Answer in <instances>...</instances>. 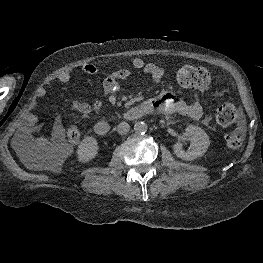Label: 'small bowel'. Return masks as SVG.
Listing matches in <instances>:
<instances>
[{"label":"small bowel","mask_w":263,"mask_h":263,"mask_svg":"<svg viewBox=\"0 0 263 263\" xmlns=\"http://www.w3.org/2000/svg\"><path fill=\"white\" fill-rule=\"evenodd\" d=\"M82 72L87 75H95L98 73V67L94 64L87 63L82 66ZM134 75H148L153 83H158L165 76V69L155 63L145 62L141 58H135L132 61V69H117L109 73L103 80L102 89L104 94H111L120 88V82L128 79ZM71 79L69 72H61L56 76V80L60 83H67ZM46 94L45 88L37 90L39 98ZM152 111H159L163 114H180L190 117L195 120H201L202 123L211 128L213 126L210 116L204 115L203 108L198 101L187 102L183 99L177 98L173 93L162 92L153 99L146 101ZM72 107L84 114H90L101 109L102 101L96 99L93 103L88 104L76 99L71 101ZM36 129V117L30 115L27 118V123L22 129V136L25 139L31 140L36 147L42 149L53 148L63 141L64 129L61 123L56 122L49 138L43 136L33 137L32 134Z\"/></svg>","instance_id":"c3829d8e"}]
</instances>
